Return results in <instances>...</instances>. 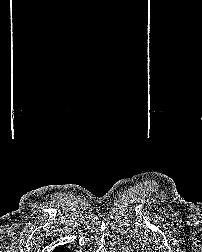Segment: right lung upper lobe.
Returning <instances> with one entry per match:
<instances>
[{"mask_svg": "<svg viewBox=\"0 0 202 252\" xmlns=\"http://www.w3.org/2000/svg\"><path fill=\"white\" fill-rule=\"evenodd\" d=\"M61 247L62 246H59V247L55 248L53 252H55V250H62Z\"/></svg>", "mask_w": 202, "mask_h": 252, "instance_id": "cb5924a9", "label": "right lung upper lobe"}]
</instances>
